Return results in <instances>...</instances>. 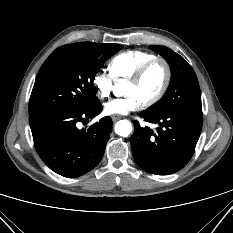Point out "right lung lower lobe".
Returning a JSON list of instances; mask_svg holds the SVG:
<instances>
[{"instance_id":"1","label":"right lung lower lobe","mask_w":233,"mask_h":233,"mask_svg":"<svg viewBox=\"0 0 233 233\" xmlns=\"http://www.w3.org/2000/svg\"><path fill=\"white\" fill-rule=\"evenodd\" d=\"M102 105L97 99L79 110H53L29 115L34 145L43 162L54 172L75 178L92 170L105 151L112 129L110 117H104L88 129L77 123L97 116Z\"/></svg>"}]
</instances>
